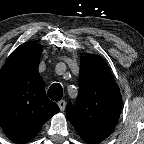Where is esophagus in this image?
<instances>
[{"label":"esophagus","instance_id":"esophagus-1","mask_svg":"<svg viewBox=\"0 0 144 144\" xmlns=\"http://www.w3.org/2000/svg\"><path fill=\"white\" fill-rule=\"evenodd\" d=\"M58 106L60 108V110L63 112L65 110V107H66V102L65 100H61L58 102Z\"/></svg>","mask_w":144,"mask_h":144}]
</instances>
